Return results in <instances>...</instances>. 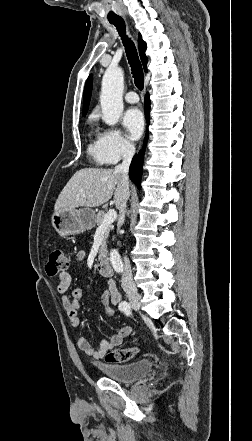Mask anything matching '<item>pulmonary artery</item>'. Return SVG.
Wrapping results in <instances>:
<instances>
[{
    "mask_svg": "<svg viewBox=\"0 0 252 441\" xmlns=\"http://www.w3.org/2000/svg\"><path fill=\"white\" fill-rule=\"evenodd\" d=\"M124 98H125L126 102L131 103V104L137 103L139 101V97L136 94V92H134V91L128 92Z\"/></svg>",
    "mask_w": 252,
    "mask_h": 441,
    "instance_id": "e3ab8cb5",
    "label": "pulmonary artery"
}]
</instances>
